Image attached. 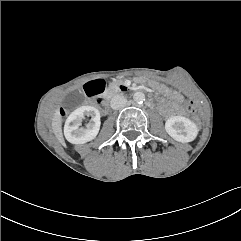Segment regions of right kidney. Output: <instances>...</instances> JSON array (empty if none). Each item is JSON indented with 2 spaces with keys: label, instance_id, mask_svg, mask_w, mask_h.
I'll return each instance as SVG.
<instances>
[{
  "label": "right kidney",
  "instance_id": "right-kidney-1",
  "mask_svg": "<svg viewBox=\"0 0 241 241\" xmlns=\"http://www.w3.org/2000/svg\"><path fill=\"white\" fill-rule=\"evenodd\" d=\"M86 116H91V122L86 128L80 127ZM100 113L92 106H82L73 111L64 125V135L72 144H84L93 140L100 129Z\"/></svg>",
  "mask_w": 241,
  "mask_h": 241
}]
</instances>
